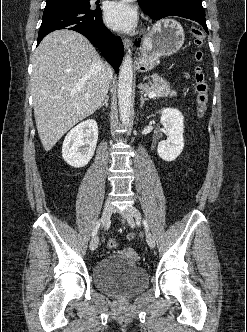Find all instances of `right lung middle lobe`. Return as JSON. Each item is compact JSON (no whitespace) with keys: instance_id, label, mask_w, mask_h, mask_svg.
<instances>
[{"instance_id":"right-lung-middle-lobe-1","label":"right lung middle lobe","mask_w":247,"mask_h":332,"mask_svg":"<svg viewBox=\"0 0 247 332\" xmlns=\"http://www.w3.org/2000/svg\"><path fill=\"white\" fill-rule=\"evenodd\" d=\"M46 7L56 5H75L90 8L89 0H46Z\"/></svg>"}]
</instances>
